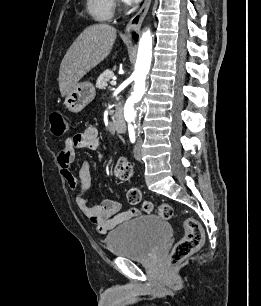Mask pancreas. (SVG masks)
<instances>
[{"label": "pancreas", "mask_w": 261, "mask_h": 306, "mask_svg": "<svg viewBox=\"0 0 261 306\" xmlns=\"http://www.w3.org/2000/svg\"><path fill=\"white\" fill-rule=\"evenodd\" d=\"M114 73L112 70L108 69L104 71L96 81V87L99 89H105L108 85V82L112 79Z\"/></svg>", "instance_id": "cf45deb5"}]
</instances>
